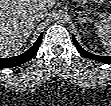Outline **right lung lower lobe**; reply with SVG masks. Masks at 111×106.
Wrapping results in <instances>:
<instances>
[{
    "label": "right lung lower lobe",
    "mask_w": 111,
    "mask_h": 106,
    "mask_svg": "<svg viewBox=\"0 0 111 106\" xmlns=\"http://www.w3.org/2000/svg\"><path fill=\"white\" fill-rule=\"evenodd\" d=\"M42 38L43 34L39 36L37 41L29 50H27L25 53L21 55L10 58H0V68H12L30 60L38 51Z\"/></svg>",
    "instance_id": "98d812e1"
}]
</instances>
